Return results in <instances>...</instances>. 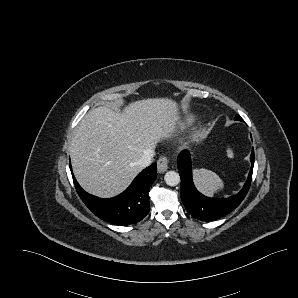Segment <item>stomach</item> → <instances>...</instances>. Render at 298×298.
Segmentation results:
<instances>
[{
	"label": "stomach",
	"instance_id": "0dacf381",
	"mask_svg": "<svg viewBox=\"0 0 298 298\" xmlns=\"http://www.w3.org/2000/svg\"><path fill=\"white\" fill-rule=\"evenodd\" d=\"M190 156H191L193 159H197V155H196L193 151L190 152Z\"/></svg>",
	"mask_w": 298,
	"mask_h": 298
}]
</instances>
